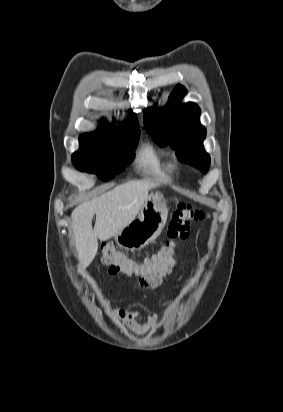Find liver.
<instances>
[{"mask_svg":"<svg viewBox=\"0 0 283 412\" xmlns=\"http://www.w3.org/2000/svg\"><path fill=\"white\" fill-rule=\"evenodd\" d=\"M155 187L156 184L148 180L129 181L73 210L71 218L79 271L86 269L95 258L98 239L108 240L134 221L149 190Z\"/></svg>","mask_w":283,"mask_h":412,"instance_id":"liver-1","label":"liver"}]
</instances>
